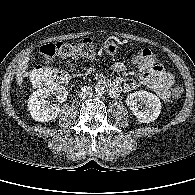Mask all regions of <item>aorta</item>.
<instances>
[{
    "label": "aorta",
    "instance_id": "obj_1",
    "mask_svg": "<svg viewBox=\"0 0 195 195\" xmlns=\"http://www.w3.org/2000/svg\"><path fill=\"white\" fill-rule=\"evenodd\" d=\"M95 92L98 96H102L105 94L106 91H105L104 87L99 86L96 88Z\"/></svg>",
    "mask_w": 195,
    "mask_h": 195
}]
</instances>
